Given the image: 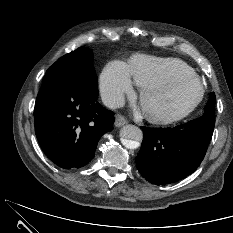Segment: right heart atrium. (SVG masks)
<instances>
[{
	"instance_id": "obj_1",
	"label": "right heart atrium",
	"mask_w": 233,
	"mask_h": 233,
	"mask_svg": "<svg viewBox=\"0 0 233 233\" xmlns=\"http://www.w3.org/2000/svg\"><path fill=\"white\" fill-rule=\"evenodd\" d=\"M98 89L103 102L111 108L121 105L133 93V84L126 64L112 61L102 70Z\"/></svg>"
}]
</instances>
